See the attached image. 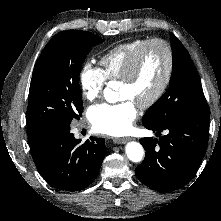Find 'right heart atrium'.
<instances>
[{"label": "right heart atrium", "instance_id": "1", "mask_svg": "<svg viewBox=\"0 0 221 221\" xmlns=\"http://www.w3.org/2000/svg\"><path fill=\"white\" fill-rule=\"evenodd\" d=\"M106 80L107 78L102 69L86 62L82 66L79 76L82 97L89 102L95 101L102 94Z\"/></svg>", "mask_w": 221, "mask_h": 221}]
</instances>
